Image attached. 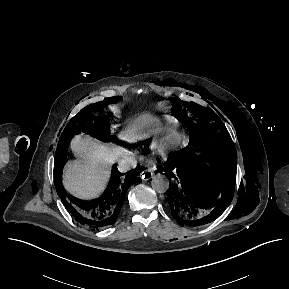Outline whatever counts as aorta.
<instances>
[{
	"label": "aorta",
	"instance_id": "obj_1",
	"mask_svg": "<svg viewBox=\"0 0 289 289\" xmlns=\"http://www.w3.org/2000/svg\"><path fill=\"white\" fill-rule=\"evenodd\" d=\"M151 186L154 191L164 193L169 188V181L164 175H157L151 181Z\"/></svg>",
	"mask_w": 289,
	"mask_h": 289
}]
</instances>
